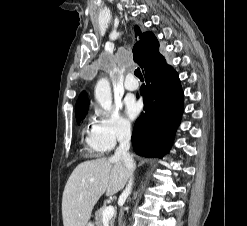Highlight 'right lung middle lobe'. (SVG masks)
Wrapping results in <instances>:
<instances>
[{
    "mask_svg": "<svg viewBox=\"0 0 247 226\" xmlns=\"http://www.w3.org/2000/svg\"><path fill=\"white\" fill-rule=\"evenodd\" d=\"M87 113H84L83 115H80V116H77L76 119H77V122L80 123V121L85 117Z\"/></svg>",
    "mask_w": 247,
    "mask_h": 226,
    "instance_id": "1",
    "label": "right lung middle lobe"
}]
</instances>
